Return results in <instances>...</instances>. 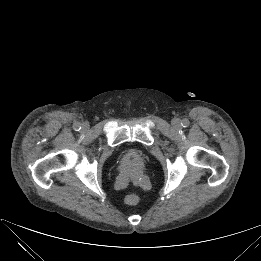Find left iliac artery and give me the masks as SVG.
I'll return each instance as SVG.
<instances>
[{"mask_svg": "<svg viewBox=\"0 0 261 261\" xmlns=\"http://www.w3.org/2000/svg\"><path fill=\"white\" fill-rule=\"evenodd\" d=\"M189 123H190V122H189L188 119H184L181 124H182L183 127H188V126H189Z\"/></svg>", "mask_w": 261, "mask_h": 261, "instance_id": "obj_1", "label": "left iliac artery"}]
</instances>
